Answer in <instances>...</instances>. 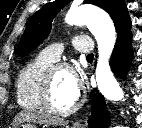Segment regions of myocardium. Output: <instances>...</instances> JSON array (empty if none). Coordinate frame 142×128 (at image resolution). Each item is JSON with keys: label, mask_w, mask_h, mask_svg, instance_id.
<instances>
[{"label": "myocardium", "mask_w": 142, "mask_h": 128, "mask_svg": "<svg viewBox=\"0 0 142 128\" xmlns=\"http://www.w3.org/2000/svg\"><path fill=\"white\" fill-rule=\"evenodd\" d=\"M67 70L70 71L71 68L66 63H59L51 65L45 72L44 79H43V85H42V92H41V100L44 109H46L49 113L58 115V116H66L69 114H72L77 109L80 108L83 102L82 94L78 90V95L75 100V102L66 109H59L57 108L52 99V83H53V77L57 70Z\"/></svg>", "instance_id": "myocardium-1"}]
</instances>
